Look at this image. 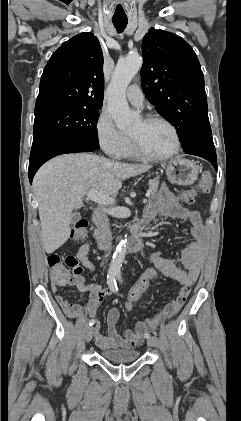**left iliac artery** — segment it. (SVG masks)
I'll return each instance as SVG.
<instances>
[{"instance_id":"44dca946","label":"left iliac artery","mask_w":241,"mask_h":421,"mask_svg":"<svg viewBox=\"0 0 241 421\" xmlns=\"http://www.w3.org/2000/svg\"><path fill=\"white\" fill-rule=\"evenodd\" d=\"M115 274H116V277L118 278V280H120L122 282L120 270H116ZM146 338L149 339L150 336L149 335H146Z\"/></svg>"}]
</instances>
